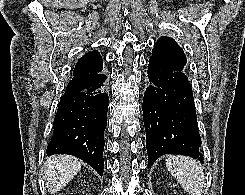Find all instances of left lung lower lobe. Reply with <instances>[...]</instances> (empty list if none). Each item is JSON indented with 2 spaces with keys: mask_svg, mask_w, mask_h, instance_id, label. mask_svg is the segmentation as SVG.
Returning <instances> with one entry per match:
<instances>
[{
  "mask_svg": "<svg viewBox=\"0 0 245 195\" xmlns=\"http://www.w3.org/2000/svg\"><path fill=\"white\" fill-rule=\"evenodd\" d=\"M147 74L143 120L149 166L164 154L187 155L203 163L194 98L185 72L151 57Z\"/></svg>",
  "mask_w": 245,
  "mask_h": 195,
  "instance_id": "obj_1",
  "label": "left lung lower lobe"
}]
</instances>
